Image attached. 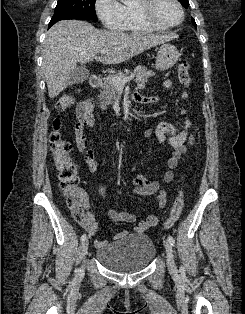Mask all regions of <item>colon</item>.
<instances>
[{
	"label": "colon",
	"instance_id": "5ec220e1",
	"mask_svg": "<svg viewBox=\"0 0 245 314\" xmlns=\"http://www.w3.org/2000/svg\"><path fill=\"white\" fill-rule=\"evenodd\" d=\"M190 63L182 61L178 67V77L184 87H188L190 78ZM75 99L69 92L61 94L56 100V110L59 115L74 106ZM62 120L58 116L54 121V131L50 135V148L53 155L54 166L57 171L60 186L63 189L68 205L74 218L82 225H88L87 216L82 207L83 195L79 191L76 165L69 157L71 144L64 138L62 132ZM184 206L183 192L181 191L174 201L170 216L163 223V229H170L181 215Z\"/></svg>",
	"mask_w": 245,
	"mask_h": 314
}]
</instances>
